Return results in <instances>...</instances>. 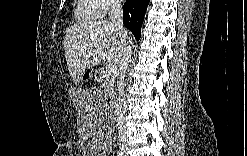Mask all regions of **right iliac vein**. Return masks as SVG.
<instances>
[{
    "mask_svg": "<svg viewBox=\"0 0 247 156\" xmlns=\"http://www.w3.org/2000/svg\"><path fill=\"white\" fill-rule=\"evenodd\" d=\"M121 151H122L123 153H125V154H126V152L128 151L127 146L122 145V146H121Z\"/></svg>",
    "mask_w": 247,
    "mask_h": 156,
    "instance_id": "obj_1",
    "label": "right iliac vein"
}]
</instances>
